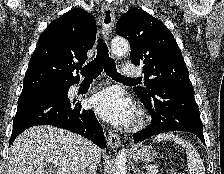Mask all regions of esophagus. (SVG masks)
Masks as SVG:
<instances>
[{
    "instance_id": "34e87169",
    "label": "esophagus",
    "mask_w": 224,
    "mask_h": 174,
    "mask_svg": "<svg viewBox=\"0 0 224 174\" xmlns=\"http://www.w3.org/2000/svg\"><path fill=\"white\" fill-rule=\"evenodd\" d=\"M115 22L114 9L111 5L103 4L102 6V39L106 41L113 30ZM108 144L111 148H118L121 144L120 136L114 132L108 134Z\"/></svg>"
}]
</instances>
